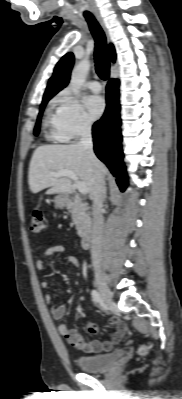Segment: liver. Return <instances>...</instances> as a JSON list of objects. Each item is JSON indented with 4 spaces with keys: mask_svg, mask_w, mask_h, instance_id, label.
<instances>
[{
    "mask_svg": "<svg viewBox=\"0 0 182 399\" xmlns=\"http://www.w3.org/2000/svg\"><path fill=\"white\" fill-rule=\"evenodd\" d=\"M97 169L105 175L103 163L98 160ZM62 170L75 173L88 189L93 198L96 167L85 150L78 143L69 145H42L35 149L29 166L28 182L32 193L45 188L47 194H69L72 192V181L68 177H55L53 174Z\"/></svg>",
    "mask_w": 182,
    "mask_h": 399,
    "instance_id": "6515ba94",
    "label": "liver"
}]
</instances>
